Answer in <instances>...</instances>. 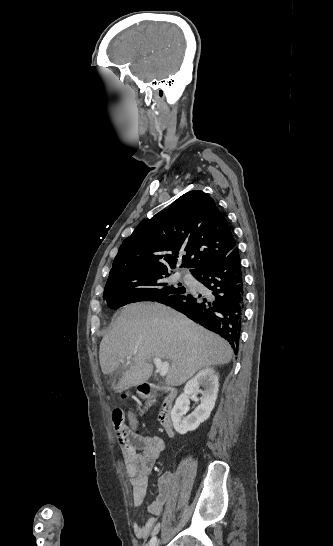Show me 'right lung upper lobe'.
Masks as SVG:
<instances>
[{"label":"right lung upper lobe","instance_id":"cb5924a9","mask_svg":"<svg viewBox=\"0 0 333 546\" xmlns=\"http://www.w3.org/2000/svg\"><path fill=\"white\" fill-rule=\"evenodd\" d=\"M234 248L231 227L214 200L203 191H190L142 221L121 244L111 270L167 271L181 260L194 275Z\"/></svg>","mask_w":333,"mask_h":546}]
</instances>
